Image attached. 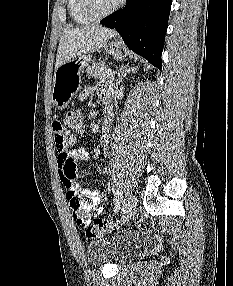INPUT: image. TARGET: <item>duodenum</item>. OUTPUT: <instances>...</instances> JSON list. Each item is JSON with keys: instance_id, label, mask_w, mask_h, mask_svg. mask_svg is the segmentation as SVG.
<instances>
[{"instance_id": "1", "label": "duodenum", "mask_w": 233, "mask_h": 286, "mask_svg": "<svg viewBox=\"0 0 233 286\" xmlns=\"http://www.w3.org/2000/svg\"><path fill=\"white\" fill-rule=\"evenodd\" d=\"M114 114L113 113H109L107 115V120L109 121V123L113 120Z\"/></svg>"}]
</instances>
